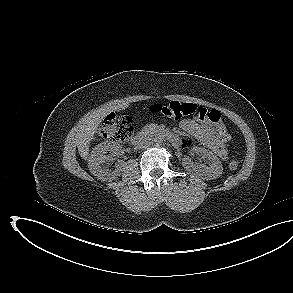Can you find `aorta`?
I'll list each match as a JSON object with an SVG mask.
<instances>
[{"instance_id": "1", "label": "aorta", "mask_w": 293, "mask_h": 293, "mask_svg": "<svg viewBox=\"0 0 293 293\" xmlns=\"http://www.w3.org/2000/svg\"><path fill=\"white\" fill-rule=\"evenodd\" d=\"M154 141L157 143V144H160L164 141V137L159 135L157 137L154 138Z\"/></svg>"}]
</instances>
